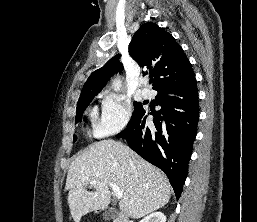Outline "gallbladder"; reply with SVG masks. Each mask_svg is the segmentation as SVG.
Here are the masks:
<instances>
[{"label":"gallbladder","mask_w":257,"mask_h":222,"mask_svg":"<svg viewBox=\"0 0 257 222\" xmlns=\"http://www.w3.org/2000/svg\"><path fill=\"white\" fill-rule=\"evenodd\" d=\"M102 216L104 220L113 219L116 216V211L114 209L105 210Z\"/></svg>","instance_id":"1"}]
</instances>
